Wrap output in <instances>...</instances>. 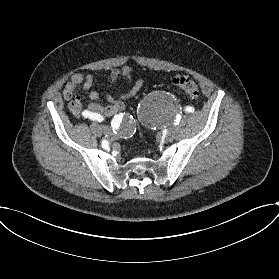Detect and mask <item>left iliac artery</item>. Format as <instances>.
Returning a JSON list of instances; mask_svg holds the SVG:
<instances>
[{
  "mask_svg": "<svg viewBox=\"0 0 279 279\" xmlns=\"http://www.w3.org/2000/svg\"><path fill=\"white\" fill-rule=\"evenodd\" d=\"M185 111L189 112V113H193L194 112V108L191 106H186Z\"/></svg>",
  "mask_w": 279,
  "mask_h": 279,
  "instance_id": "left-iliac-artery-1",
  "label": "left iliac artery"
}]
</instances>
